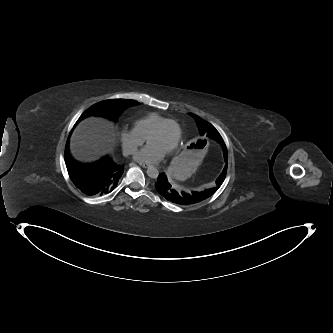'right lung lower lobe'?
Instances as JSON below:
<instances>
[{
  "label": "right lung lower lobe",
  "instance_id": "98d812e1",
  "mask_svg": "<svg viewBox=\"0 0 333 333\" xmlns=\"http://www.w3.org/2000/svg\"><path fill=\"white\" fill-rule=\"evenodd\" d=\"M65 163L74 185L89 196L108 194L118 185L124 172V164L106 156L92 164H80L65 150Z\"/></svg>",
  "mask_w": 333,
  "mask_h": 333
}]
</instances>
